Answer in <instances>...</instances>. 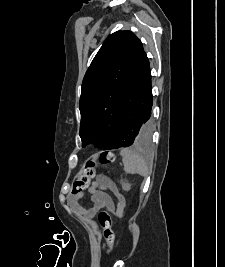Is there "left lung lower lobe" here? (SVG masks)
Listing matches in <instances>:
<instances>
[{
	"label": "left lung lower lobe",
	"mask_w": 225,
	"mask_h": 267,
	"mask_svg": "<svg viewBox=\"0 0 225 267\" xmlns=\"http://www.w3.org/2000/svg\"><path fill=\"white\" fill-rule=\"evenodd\" d=\"M153 104L149 60L143 51L125 94L115 133L103 150L118 149L134 144L142 125L144 139L152 133L150 125Z\"/></svg>",
	"instance_id": "0a47b994"
}]
</instances>
